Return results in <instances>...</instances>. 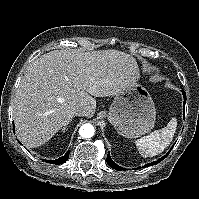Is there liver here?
Masks as SVG:
<instances>
[{"label":"liver","instance_id":"1","mask_svg":"<svg viewBox=\"0 0 199 199\" xmlns=\"http://www.w3.org/2000/svg\"><path fill=\"white\" fill-rule=\"evenodd\" d=\"M138 77L135 59L118 50H54L40 56L27 68L13 102L19 140L29 148L43 145L72 120L76 107L90 118L94 97L115 96Z\"/></svg>","mask_w":199,"mask_h":199}]
</instances>
